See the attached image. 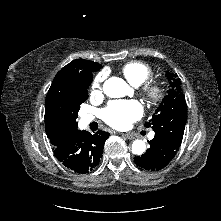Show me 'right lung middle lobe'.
<instances>
[{"mask_svg":"<svg viewBox=\"0 0 221 221\" xmlns=\"http://www.w3.org/2000/svg\"><path fill=\"white\" fill-rule=\"evenodd\" d=\"M88 87L89 85H84L46 100L44 116L46 131L67 134L77 130L78 111L80 105L88 98Z\"/></svg>","mask_w":221,"mask_h":221,"instance_id":"1","label":"right lung middle lobe"}]
</instances>
